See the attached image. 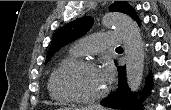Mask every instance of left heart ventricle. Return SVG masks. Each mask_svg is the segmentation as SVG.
<instances>
[{"label": "left heart ventricle", "mask_w": 171, "mask_h": 110, "mask_svg": "<svg viewBox=\"0 0 171 110\" xmlns=\"http://www.w3.org/2000/svg\"><path fill=\"white\" fill-rule=\"evenodd\" d=\"M63 82L71 92L85 97L99 95L107 86L100 71L90 68H76L68 71Z\"/></svg>", "instance_id": "left-heart-ventricle-1"}]
</instances>
